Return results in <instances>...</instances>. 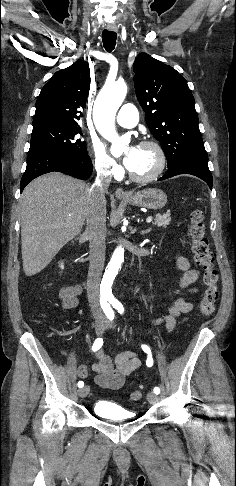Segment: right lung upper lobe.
Wrapping results in <instances>:
<instances>
[{
	"label": "right lung upper lobe",
	"instance_id": "right-lung-upper-lobe-1",
	"mask_svg": "<svg viewBox=\"0 0 236 486\" xmlns=\"http://www.w3.org/2000/svg\"><path fill=\"white\" fill-rule=\"evenodd\" d=\"M89 89L90 70L84 60L56 72L36 101L33 127L45 124L79 126Z\"/></svg>",
	"mask_w": 236,
	"mask_h": 486
}]
</instances>
